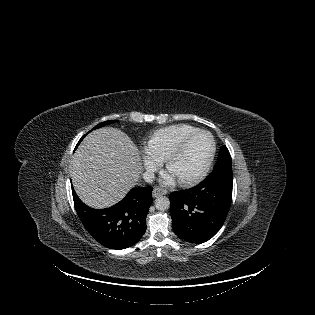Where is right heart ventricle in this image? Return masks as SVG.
I'll return each mask as SVG.
<instances>
[{"label": "right heart ventricle", "mask_w": 315, "mask_h": 315, "mask_svg": "<svg viewBox=\"0 0 315 315\" xmlns=\"http://www.w3.org/2000/svg\"><path fill=\"white\" fill-rule=\"evenodd\" d=\"M188 124H175L155 130L148 138L146 149L159 161L165 160L182 138L196 131Z\"/></svg>", "instance_id": "e07e8e85"}]
</instances>
